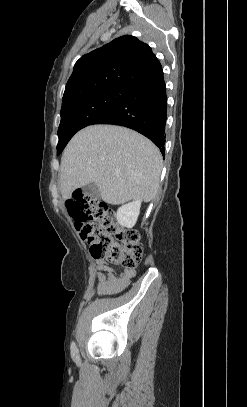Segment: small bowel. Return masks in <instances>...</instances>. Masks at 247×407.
Segmentation results:
<instances>
[{
  "label": "small bowel",
  "instance_id": "obj_1",
  "mask_svg": "<svg viewBox=\"0 0 247 407\" xmlns=\"http://www.w3.org/2000/svg\"><path fill=\"white\" fill-rule=\"evenodd\" d=\"M102 271H106L103 273ZM95 275L100 280L97 286L99 294H114L126 288L136 275L135 269H124L117 275L114 268L105 260L98 259L95 263Z\"/></svg>",
  "mask_w": 247,
  "mask_h": 407
}]
</instances>
